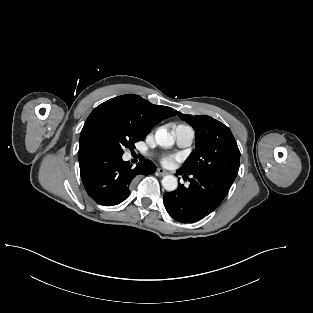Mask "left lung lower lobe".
<instances>
[{"label":"left lung lower lobe","mask_w":313,"mask_h":313,"mask_svg":"<svg viewBox=\"0 0 313 313\" xmlns=\"http://www.w3.org/2000/svg\"><path fill=\"white\" fill-rule=\"evenodd\" d=\"M178 174H185L180 169ZM186 176V175H185ZM188 188L179 184L164 194V205L171 217L183 223H193L209 215L225 198L232 181L217 176L194 175Z\"/></svg>","instance_id":"1"}]
</instances>
